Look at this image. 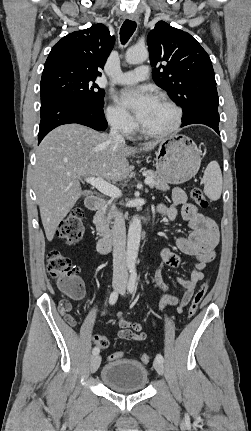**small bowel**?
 <instances>
[{
    "label": "small bowel",
    "mask_w": 251,
    "mask_h": 431,
    "mask_svg": "<svg viewBox=\"0 0 251 431\" xmlns=\"http://www.w3.org/2000/svg\"><path fill=\"white\" fill-rule=\"evenodd\" d=\"M156 209L157 212L165 215L170 220L175 219L178 211H180L192 230L188 237H179L175 240L176 247L182 253L194 256L197 259L190 277L177 279V282L183 287L184 293L181 297L166 294L162 296L159 302V307L162 310L169 306H176L177 312L182 313L190 302L198 282L204 278V269L216 256L219 232L215 222L207 215L199 212L196 206L189 203L185 192L180 188H175L172 191V205L159 204ZM161 258L162 262L156 270L155 279L163 290H168V285L162 279V266L176 267L180 259L168 248L161 251ZM107 312V309L103 310L101 316H105ZM117 322L120 327L116 332L118 339L128 342H138L146 339L147 335L143 331V323L127 320L121 313L117 314Z\"/></svg>",
    "instance_id": "1"
}]
</instances>
